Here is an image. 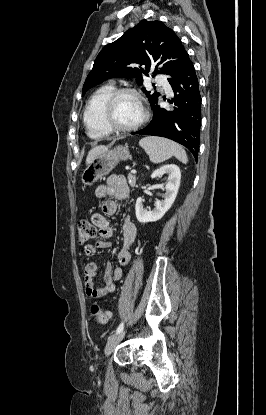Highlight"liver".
Returning <instances> with one entry per match:
<instances>
[{
    "mask_svg": "<svg viewBox=\"0 0 266 415\" xmlns=\"http://www.w3.org/2000/svg\"><path fill=\"white\" fill-rule=\"evenodd\" d=\"M106 149H107V146H104V145H99V146H96V147L92 148L88 152V155H87V158H86V164H89L97 155H99L100 153H102Z\"/></svg>",
    "mask_w": 266,
    "mask_h": 415,
    "instance_id": "1",
    "label": "liver"
}]
</instances>
